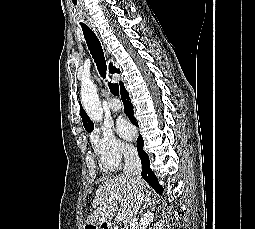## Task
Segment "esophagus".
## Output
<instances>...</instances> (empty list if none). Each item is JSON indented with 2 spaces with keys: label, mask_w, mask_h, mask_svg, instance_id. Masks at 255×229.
<instances>
[{
  "label": "esophagus",
  "mask_w": 255,
  "mask_h": 229,
  "mask_svg": "<svg viewBox=\"0 0 255 229\" xmlns=\"http://www.w3.org/2000/svg\"><path fill=\"white\" fill-rule=\"evenodd\" d=\"M90 26H91L92 29L95 31V26H94L92 23H90ZM102 48H103L105 54H106L107 56H109V55H108V49H107V47H106L105 44H102Z\"/></svg>",
  "instance_id": "1"
}]
</instances>
